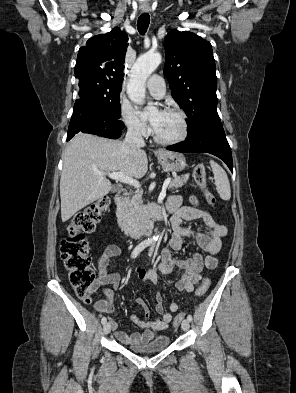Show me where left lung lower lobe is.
<instances>
[{"label": "left lung lower lobe", "mask_w": 296, "mask_h": 393, "mask_svg": "<svg viewBox=\"0 0 296 393\" xmlns=\"http://www.w3.org/2000/svg\"><path fill=\"white\" fill-rule=\"evenodd\" d=\"M167 149L176 152L213 154L222 159L233 172L231 149L221 122L207 124L192 135L187 136L185 141L168 146Z\"/></svg>", "instance_id": "0a47b994"}]
</instances>
